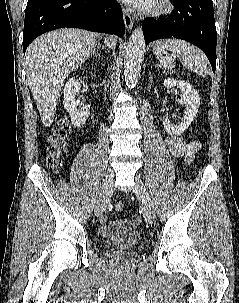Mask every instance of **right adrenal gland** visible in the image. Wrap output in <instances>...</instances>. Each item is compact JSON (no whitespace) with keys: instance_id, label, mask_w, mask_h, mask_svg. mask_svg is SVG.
<instances>
[{"instance_id":"obj_1","label":"right adrenal gland","mask_w":239,"mask_h":303,"mask_svg":"<svg viewBox=\"0 0 239 303\" xmlns=\"http://www.w3.org/2000/svg\"><path fill=\"white\" fill-rule=\"evenodd\" d=\"M92 55H94L95 57H98V53L96 51V47L95 46L93 47L92 52H91V54H90L89 57H92Z\"/></svg>"}]
</instances>
